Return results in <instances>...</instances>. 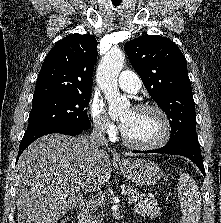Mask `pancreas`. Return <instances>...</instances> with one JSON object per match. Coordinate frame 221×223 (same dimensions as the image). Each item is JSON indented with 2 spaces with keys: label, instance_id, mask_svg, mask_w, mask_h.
I'll use <instances>...</instances> for the list:
<instances>
[{
  "label": "pancreas",
  "instance_id": "cf45deb5",
  "mask_svg": "<svg viewBox=\"0 0 221 223\" xmlns=\"http://www.w3.org/2000/svg\"><path fill=\"white\" fill-rule=\"evenodd\" d=\"M125 191L129 195V202L135 204V214L149 218H156L161 215L160 207H158L156 200L146 197L137 188L131 186H127ZM98 221V218L89 215L83 220V223H98Z\"/></svg>",
  "mask_w": 221,
  "mask_h": 223
}]
</instances>
